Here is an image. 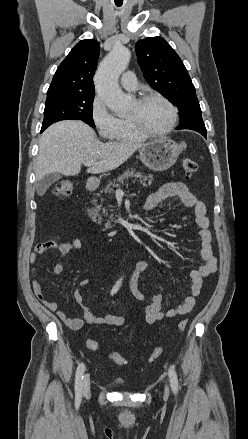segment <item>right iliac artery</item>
<instances>
[{
	"label": "right iliac artery",
	"mask_w": 248,
	"mask_h": 439,
	"mask_svg": "<svg viewBox=\"0 0 248 439\" xmlns=\"http://www.w3.org/2000/svg\"><path fill=\"white\" fill-rule=\"evenodd\" d=\"M121 283H122V278L119 279L114 285V287L112 288L111 295H114L119 290ZM84 371H85L84 363L79 364L76 370V378H75V391L78 395L82 393Z\"/></svg>",
	"instance_id": "82829eb1"
}]
</instances>
